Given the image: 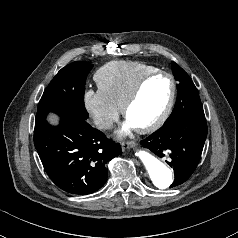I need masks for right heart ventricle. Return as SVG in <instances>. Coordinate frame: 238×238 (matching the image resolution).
I'll list each match as a JSON object with an SVG mask.
<instances>
[{"instance_id":"1","label":"right heart ventricle","mask_w":238,"mask_h":238,"mask_svg":"<svg viewBox=\"0 0 238 238\" xmlns=\"http://www.w3.org/2000/svg\"><path fill=\"white\" fill-rule=\"evenodd\" d=\"M157 68L135 61H111L100 67L94 80L98 89L119 109L135 84Z\"/></svg>"}]
</instances>
